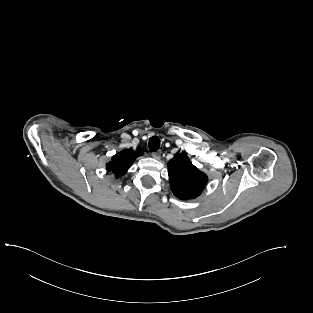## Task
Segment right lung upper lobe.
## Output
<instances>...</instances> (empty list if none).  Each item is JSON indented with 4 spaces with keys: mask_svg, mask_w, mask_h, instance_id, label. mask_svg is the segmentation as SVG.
I'll return each instance as SVG.
<instances>
[{
    "mask_svg": "<svg viewBox=\"0 0 313 313\" xmlns=\"http://www.w3.org/2000/svg\"><path fill=\"white\" fill-rule=\"evenodd\" d=\"M142 155L141 151L123 150L112 157V160L107 164V170L118 178L126 174L135 159Z\"/></svg>",
    "mask_w": 313,
    "mask_h": 313,
    "instance_id": "right-lung-upper-lobe-1",
    "label": "right lung upper lobe"
}]
</instances>
